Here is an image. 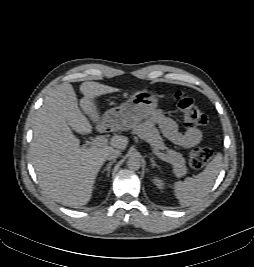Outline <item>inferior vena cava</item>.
<instances>
[{"label": "inferior vena cava", "instance_id": "obj_1", "mask_svg": "<svg viewBox=\"0 0 254 267\" xmlns=\"http://www.w3.org/2000/svg\"><path fill=\"white\" fill-rule=\"evenodd\" d=\"M120 151L118 149H112L111 151H109L106 155V159L108 160H112V159H116L117 157L120 156Z\"/></svg>", "mask_w": 254, "mask_h": 267}]
</instances>
